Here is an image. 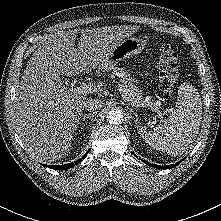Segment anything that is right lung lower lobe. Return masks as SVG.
Returning <instances> with one entry per match:
<instances>
[{
    "label": "right lung lower lobe",
    "mask_w": 221,
    "mask_h": 221,
    "mask_svg": "<svg viewBox=\"0 0 221 221\" xmlns=\"http://www.w3.org/2000/svg\"><path fill=\"white\" fill-rule=\"evenodd\" d=\"M86 154L82 158H80L79 160H77V161H75L73 163H68V164H65V165H55V166L54 165H43V166L51 168V169H57V170L69 169V168H71V167H73L75 165H78L86 157Z\"/></svg>",
    "instance_id": "obj_1"
}]
</instances>
